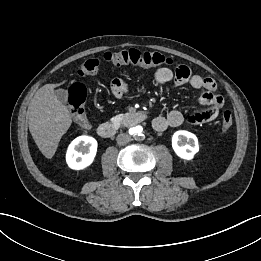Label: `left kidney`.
<instances>
[{
	"label": "left kidney",
	"mask_w": 261,
	"mask_h": 261,
	"mask_svg": "<svg viewBox=\"0 0 261 261\" xmlns=\"http://www.w3.org/2000/svg\"><path fill=\"white\" fill-rule=\"evenodd\" d=\"M172 148L177 156L184 160H191L199 151L197 137L188 131L179 130L173 134Z\"/></svg>",
	"instance_id": "left-kidney-1"
}]
</instances>
